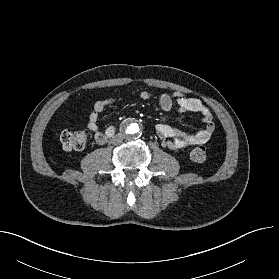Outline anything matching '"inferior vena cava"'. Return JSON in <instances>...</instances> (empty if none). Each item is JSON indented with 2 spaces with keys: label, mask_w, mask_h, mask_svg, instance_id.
<instances>
[{
  "label": "inferior vena cava",
  "mask_w": 279,
  "mask_h": 279,
  "mask_svg": "<svg viewBox=\"0 0 279 279\" xmlns=\"http://www.w3.org/2000/svg\"><path fill=\"white\" fill-rule=\"evenodd\" d=\"M123 141V136L121 134H116L112 137L111 142L113 144H120Z\"/></svg>",
  "instance_id": "inferior-vena-cava-1"
}]
</instances>
